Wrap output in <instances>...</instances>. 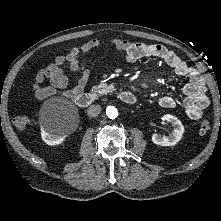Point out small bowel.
Listing matches in <instances>:
<instances>
[{
  "label": "small bowel",
  "mask_w": 221,
  "mask_h": 221,
  "mask_svg": "<svg viewBox=\"0 0 221 221\" xmlns=\"http://www.w3.org/2000/svg\"><path fill=\"white\" fill-rule=\"evenodd\" d=\"M101 44V39L94 38L71 48L66 55L57 56L52 64L37 74L33 85L34 96L38 99H45L54 95H62L74 99L76 95L82 93L90 78V70L85 66L82 57ZM110 45L124 53V60L128 63H134L143 58H159L177 75L188 78V82L183 87L182 106L190 119L198 120L202 117L203 111L209 105V98L205 82L196 68L189 66L163 45L130 42L118 38L111 39ZM67 69L78 74V79L72 87H69ZM46 79L49 80V86L42 85ZM159 105L170 109L174 108L177 102L173 97L166 95L159 99Z\"/></svg>",
  "instance_id": "obj_1"
}]
</instances>
